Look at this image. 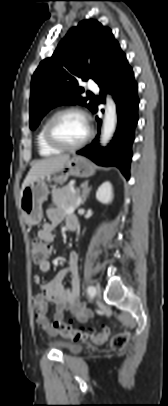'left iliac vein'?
<instances>
[{
  "label": "left iliac vein",
  "mask_w": 168,
  "mask_h": 406,
  "mask_svg": "<svg viewBox=\"0 0 168 406\" xmlns=\"http://www.w3.org/2000/svg\"><path fill=\"white\" fill-rule=\"evenodd\" d=\"M95 296L99 297L101 294V288L99 285H96L95 287Z\"/></svg>",
  "instance_id": "1"
}]
</instances>
